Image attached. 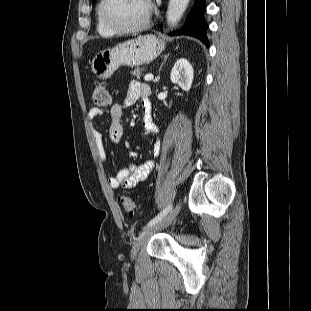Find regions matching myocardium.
Here are the masks:
<instances>
[{
	"label": "myocardium",
	"mask_w": 311,
	"mask_h": 311,
	"mask_svg": "<svg viewBox=\"0 0 311 311\" xmlns=\"http://www.w3.org/2000/svg\"><path fill=\"white\" fill-rule=\"evenodd\" d=\"M110 0H101L100 6H99V15L101 17L102 22L113 32L118 34H132V33H138L143 31L148 27L150 24L151 18H152V5L149 0L148 6L149 10L147 13V16L145 19L139 23L138 25L132 26V27H122L116 23H114L107 15V6L109 4Z\"/></svg>",
	"instance_id": "myocardium-1"
}]
</instances>
